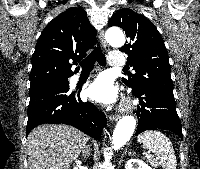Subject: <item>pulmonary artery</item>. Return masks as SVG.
<instances>
[{
  "label": "pulmonary artery",
  "mask_w": 200,
  "mask_h": 169,
  "mask_svg": "<svg viewBox=\"0 0 200 169\" xmlns=\"http://www.w3.org/2000/svg\"><path fill=\"white\" fill-rule=\"evenodd\" d=\"M109 64L111 66H124L126 64V56L124 52L120 50L113 51L109 56Z\"/></svg>",
  "instance_id": "obj_1"
}]
</instances>
